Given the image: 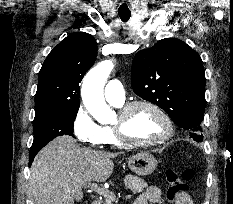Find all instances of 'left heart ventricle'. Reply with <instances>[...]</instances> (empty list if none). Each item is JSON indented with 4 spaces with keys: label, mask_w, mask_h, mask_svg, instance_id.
Returning <instances> with one entry per match:
<instances>
[{
    "label": "left heart ventricle",
    "mask_w": 233,
    "mask_h": 204,
    "mask_svg": "<svg viewBox=\"0 0 233 204\" xmlns=\"http://www.w3.org/2000/svg\"><path fill=\"white\" fill-rule=\"evenodd\" d=\"M117 119L118 117L116 121ZM125 132L131 139L152 141L159 139L165 134L166 126L153 110L146 107H138L129 115L125 125Z\"/></svg>",
    "instance_id": "b2bd125f"
}]
</instances>
